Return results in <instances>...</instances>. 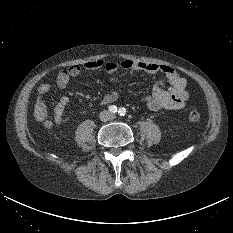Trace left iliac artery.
<instances>
[{
    "instance_id": "left-iliac-artery-1",
    "label": "left iliac artery",
    "mask_w": 233,
    "mask_h": 233,
    "mask_svg": "<svg viewBox=\"0 0 233 233\" xmlns=\"http://www.w3.org/2000/svg\"><path fill=\"white\" fill-rule=\"evenodd\" d=\"M118 113L120 116H124L126 114V109L124 107L119 108Z\"/></svg>"
}]
</instances>
